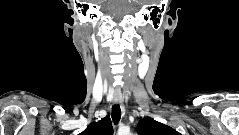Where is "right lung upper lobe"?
<instances>
[{
	"label": "right lung upper lobe",
	"instance_id": "cb5924a9",
	"mask_svg": "<svg viewBox=\"0 0 239 135\" xmlns=\"http://www.w3.org/2000/svg\"><path fill=\"white\" fill-rule=\"evenodd\" d=\"M113 128L109 116H106L98 122H92L79 135H112Z\"/></svg>",
	"mask_w": 239,
	"mask_h": 135
}]
</instances>
